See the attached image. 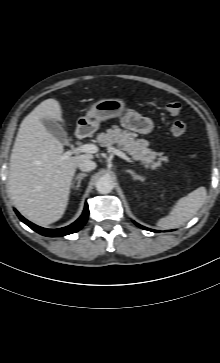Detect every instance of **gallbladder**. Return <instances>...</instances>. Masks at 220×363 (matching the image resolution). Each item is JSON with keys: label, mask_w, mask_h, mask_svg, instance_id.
Wrapping results in <instances>:
<instances>
[{"label": "gallbladder", "mask_w": 220, "mask_h": 363, "mask_svg": "<svg viewBox=\"0 0 220 363\" xmlns=\"http://www.w3.org/2000/svg\"><path fill=\"white\" fill-rule=\"evenodd\" d=\"M42 123L47 129V131L53 135L56 139H58L61 143L66 144L68 142L67 133L62 128L60 124L56 121L48 118L42 119Z\"/></svg>", "instance_id": "gallbladder-1"}]
</instances>
